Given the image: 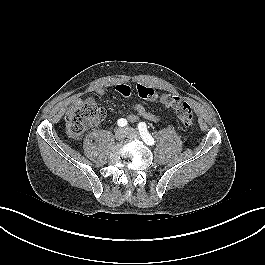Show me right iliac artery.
Returning <instances> with one entry per match:
<instances>
[{
    "label": "right iliac artery",
    "instance_id": "obj_1",
    "mask_svg": "<svg viewBox=\"0 0 265 265\" xmlns=\"http://www.w3.org/2000/svg\"><path fill=\"white\" fill-rule=\"evenodd\" d=\"M117 124H118V126H120V127H125V126H127L128 122H127L126 119L121 118V119H119V120L117 121Z\"/></svg>",
    "mask_w": 265,
    "mask_h": 265
}]
</instances>
